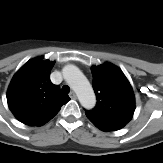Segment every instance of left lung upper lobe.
<instances>
[{"instance_id":"5c2ea615","label":"left lung upper lobe","mask_w":163,"mask_h":163,"mask_svg":"<svg viewBox=\"0 0 163 163\" xmlns=\"http://www.w3.org/2000/svg\"><path fill=\"white\" fill-rule=\"evenodd\" d=\"M97 104L85 111L90 121L127 124L135 111V97L124 73L115 65L92 66Z\"/></svg>"}]
</instances>
